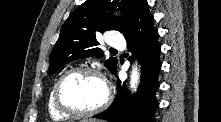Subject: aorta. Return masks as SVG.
<instances>
[{
	"label": "aorta",
	"mask_w": 221,
	"mask_h": 122,
	"mask_svg": "<svg viewBox=\"0 0 221 122\" xmlns=\"http://www.w3.org/2000/svg\"><path fill=\"white\" fill-rule=\"evenodd\" d=\"M138 82H139V73H138L137 65H135L132 68V72H131V76H130V86L133 91L136 90Z\"/></svg>",
	"instance_id": "aorta-1"
}]
</instances>
